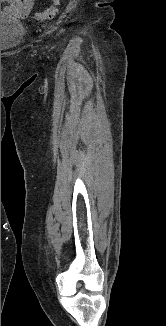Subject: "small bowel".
Listing matches in <instances>:
<instances>
[{
    "instance_id": "c3829d8e",
    "label": "small bowel",
    "mask_w": 166,
    "mask_h": 326,
    "mask_svg": "<svg viewBox=\"0 0 166 326\" xmlns=\"http://www.w3.org/2000/svg\"><path fill=\"white\" fill-rule=\"evenodd\" d=\"M36 0H1L4 3V10L16 18H25Z\"/></svg>"
}]
</instances>
